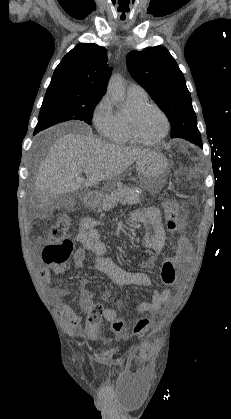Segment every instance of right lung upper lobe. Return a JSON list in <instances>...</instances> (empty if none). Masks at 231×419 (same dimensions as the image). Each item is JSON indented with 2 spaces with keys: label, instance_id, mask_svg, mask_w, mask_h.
<instances>
[{
  "label": "right lung upper lobe",
  "instance_id": "cb5924a9",
  "mask_svg": "<svg viewBox=\"0 0 231 419\" xmlns=\"http://www.w3.org/2000/svg\"><path fill=\"white\" fill-rule=\"evenodd\" d=\"M107 50L81 43L67 53L56 67L48 89L65 88L78 95L103 96L111 73Z\"/></svg>",
  "mask_w": 231,
  "mask_h": 419
}]
</instances>
